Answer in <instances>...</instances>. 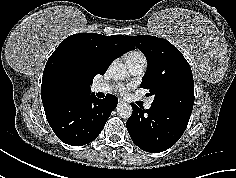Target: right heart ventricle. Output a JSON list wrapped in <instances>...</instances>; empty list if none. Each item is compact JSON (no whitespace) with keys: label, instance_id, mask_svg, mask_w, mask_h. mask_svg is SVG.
<instances>
[{"label":"right heart ventricle","instance_id":"e07e8e85","mask_svg":"<svg viewBox=\"0 0 236 178\" xmlns=\"http://www.w3.org/2000/svg\"><path fill=\"white\" fill-rule=\"evenodd\" d=\"M127 59H145V57L142 52L134 50L128 54Z\"/></svg>","mask_w":236,"mask_h":178}]
</instances>
